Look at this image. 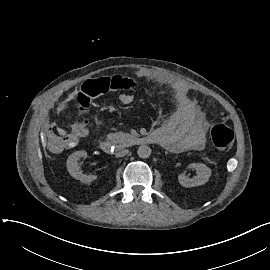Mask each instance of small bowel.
I'll list each match as a JSON object with an SVG mask.
<instances>
[{"label":"small bowel","mask_w":270,"mask_h":270,"mask_svg":"<svg viewBox=\"0 0 270 270\" xmlns=\"http://www.w3.org/2000/svg\"><path fill=\"white\" fill-rule=\"evenodd\" d=\"M140 77L163 84L171 92L173 97L180 103L186 104L190 101L188 88L173 76L150 69L138 71ZM124 105L133 102L134 97L130 93L119 96ZM208 130V122L204 114L194 110L187 118H173L164 122L157 130L162 146L172 152L180 153L188 150H202L205 146V138ZM45 137L50 141L51 150L60 153L63 150L74 148L77 139L71 132H64L58 125H50L45 130Z\"/></svg>","instance_id":"obj_1"}]
</instances>
